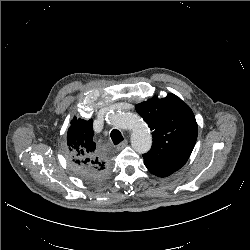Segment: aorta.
Segmentation results:
<instances>
[{"instance_id": "obj_1", "label": "aorta", "mask_w": 250, "mask_h": 250, "mask_svg": "<svg viewBox=\"0 0 250 250\" xmlns=\"http://www.w3.org/2000/svg\"><path fill=\"white\" fill-rule=\"evenodd\" d=\"M111 125L131 130V145L133 149L140 153H146L152 145V136L148 126L136 115L131 113H112L108 116Z\"/></svg>"}]
</instances>
